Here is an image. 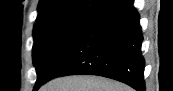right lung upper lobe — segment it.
I'll return each mask as SVG.
<instances>
[{"instance_id": "right-lung-upper-lobe-1", "label": "right lung upper lobe", "mask_w": 173, "mask_h": 91, "mask_svg": "<svg viewBox=\"0 0 173 91\" xmlns=\"http://www.w3.org/2000/svg\"><path fill=\"white\" fill-rule=\"evenodd\" d=\"M117 0H40L35 25L66 20L89 19Z\"/></svg>"}]
</instances>
